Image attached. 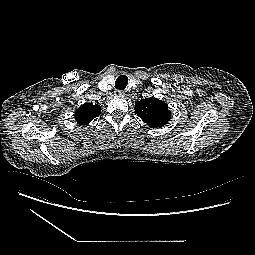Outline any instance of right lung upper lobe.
Segmentation results:
<instances>
[{
	"instance_id": "right-lung-upper-lobe-1",
	"label": "right lung upper lobe",
	"mask_w": 255,
	"mask_h": 255,
	"mask_svg": "<svg viewBox=\"0 0 255 255\" xmlns=\"http://www.w3.org/2000/svg\"><path fill=\"white\" fill-rule=\"evenodd\" d=\"M101 113V107L98 104L85 103L75 112V119L79 125H87Z\"/></svg>"
}]
</instances>
